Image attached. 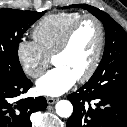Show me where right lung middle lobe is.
I'll list each match as a JSON object with an SVG mask.
<instances>
[{"label": "right lung middle lobe", "instance_id": "dd1d6c3e", "mask_svg": "<svg viewBox=\"0 0 127 127\" xmlns=\"http://www.w3.org/2000/svg\"><path fill=\"white\" fill-rule=\"evenodd\" d=\"M45 11L0 9V69L16 77H24L18 58V45L25 31Z\"/></svg>", "mask_w": 127, "mask_h": 127}]
</instances>
